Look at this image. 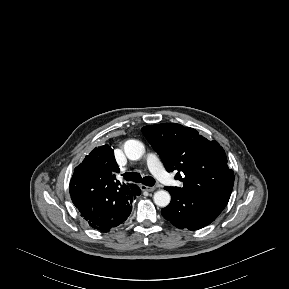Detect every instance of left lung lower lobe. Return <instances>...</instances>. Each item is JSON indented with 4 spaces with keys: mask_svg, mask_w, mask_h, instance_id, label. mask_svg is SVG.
<instances>
[{
    "mask_svg": "<svg viewBox=\"0 0 289 289\" xmlns=\"http://www.w3.org/2000/svg\"><path fill=\"white\" fill-rule=\"evenodd\" d=\"M168 191L171 202L161 213L177 228L201 229L213 222L223 210L195 196Z\"/></svg>",
    "mask_w": 289,
    "mask_h": 289,
    "instance_id": "left-lung-lower-lobe-1",
    "label": "left lung lower lobe"
}]
</instances>
